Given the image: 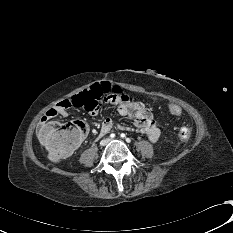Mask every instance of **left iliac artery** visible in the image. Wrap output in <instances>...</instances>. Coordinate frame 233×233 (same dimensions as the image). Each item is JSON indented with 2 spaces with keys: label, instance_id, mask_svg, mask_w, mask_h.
<instances>
[{
  "label": "left iliac artery",
  "instance_id": "obj_1",
  "mask_svg": "<svg viewBox=\"0 0 233 233\" xmlns=\"http://www.w3.org/2000/svg\"><path fill=\"white\" fill-rule=\"evenodd\" d=\"M120 136H121L122 138L126 137V135H125L124 133H122ZM126 141H127L128 143L131 142L130 138H126Z\"/></svg>",
  "mask_w": 233,
  "mask_h": 233
}]
</instances>
